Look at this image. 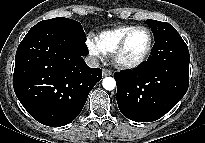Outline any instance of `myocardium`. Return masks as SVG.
<instances>
[{
    "label": "myocardium",
    "instance_id": "1",
    "mask_svg": "<svg viewBox=\"0 0 205 143\" xmlns=\"http://www.w3.org/2000/svg\"><path fill=\"white\" fill-rule=\"evenodd\" d=\"M139 29L145 30L149 37V42L146 51L137 61L134 62L121 61L120 56L125 49L129 37L132 35L133 32ZM152 48H153V34L151 30L147 26H143V25L134 26L124 34V36L121 38L120 42L112 52L111 54L112 62L117 68L122 70L136 69L146 62V60L149 58L152 52Z\"/></svg>",
    "mask_w": 205,
    "mask_h": 143
}]
</instances>
